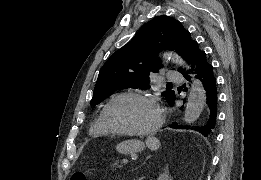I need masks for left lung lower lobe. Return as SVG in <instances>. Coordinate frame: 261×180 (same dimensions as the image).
I'll use <instances>...</instances> for the list:
<instances>
[{"mask_svg":"<svg viewBox=\"0 0 261 180\" xmlns=\"http://www.w3.org/2000/svg\"><path fill=\"white\" fill-rule=\"evenodd\" d=\"M188 63L192 67L191 71H194L193 74H197L196 78L201 79L200 81L202 82V85L205 88L206 103L208 107V119L206 124L201 127L199 126L191 127V129H194L200 132L205 137H207L213 132L217 121L218 94H217L216 78L213 73L212 65L207 61L206 53L199 49L198 44H196L193 47L190 57L188 58ZM181 73L188 81L190 80L188 71L181 70ZM174 101H175V97L168 104L173 106ZM182 108L183 107H181L180 109ZM170 127L175 129L177 128L184 129L186 127L187 129H189V126H182L177 122H173L170 125Z\"/></svg>","mask_w":261,"mask_h":180,"instance_id":"1","label":"left lung lower lobe"}]
</instances>
